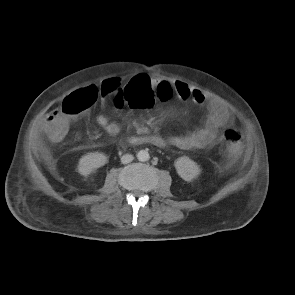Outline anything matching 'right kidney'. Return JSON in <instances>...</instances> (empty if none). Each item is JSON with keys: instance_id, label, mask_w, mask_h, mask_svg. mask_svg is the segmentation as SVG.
I'll use <instances>...</instances> for the list:
<instances>
[{"instance_id": "ca27d5eb", "label": "right kidney", "mask_w": 295, "mask_h": 295, "mask_svg": "<svg viewBox=\"0 0 295 295\" xmlns=\"http://www.w3.org/2000/svg\"><path fill=\"white\" fill-rule=\"evenodd\" d=\"M108 162L105 154L100 152L87 153L79 160L77 170L83 176H88Z\"/></svg>"}]
</instances>
